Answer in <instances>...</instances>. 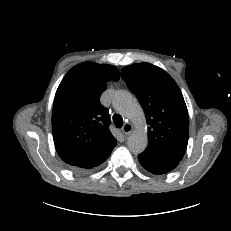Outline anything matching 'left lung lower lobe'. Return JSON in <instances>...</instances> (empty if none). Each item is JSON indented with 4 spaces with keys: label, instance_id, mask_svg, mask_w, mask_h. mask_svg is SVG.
Instances as JSON below:
<instances>
[{
    "label": "left lung lower lobe",
    "instance_id": "left-lung-lower-lobe-1",
    "mask_svg": "<svg viewBox=\"0 0 231 231\" xmlns=\"http://www.w3.org/2000/svg\"><path fill=\"white\" fill-rule=\"evenodd\" d=\"M138 159L144 169L154 174H165L179 164V161L164 159L144 152L138 155Z\"/></svg>",
    "mask_w": 231,
    "mask_h": 231
}]
</instances>
